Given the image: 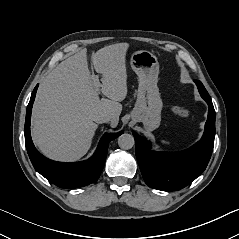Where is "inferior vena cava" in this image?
Instances as JSON below:
<instances>
[{"label":"inferior vena cava","mask_w":239,"mask_h":239,"mask_svg":"<svg viewBox=\"0 0 239 239\" xmlns=\"http://www.w3.org/2000/svg\"><path fill=\"white\" fill-rule=\"evenodd\" d=\"M110 120H111V116L106 113L99 114L94 119L96 123H107Z\"/></svg>","instance_id":"obj_1"}]
</instances>
